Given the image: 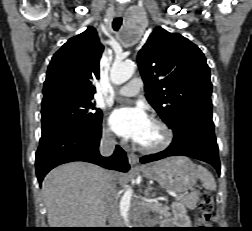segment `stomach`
Instances as JSON below:
<instances>
[{
    "label": "stomach",
    "instance_id": "1",
    "mask_svg": "<svg viewBox=\"0 0 252 231\" xmlns=\"http://www.w3.org/2000/svg\"><path fill=\"white\" fill-rule=\"evenodd\" d=\"M195 165L185 156H174L148 164L142 168L143 174L159 185L176 193H183L195 185L197 172Z\"/></svg>",
    "mask_w": 252,
    "mask_h": 231
}]
</instances>
